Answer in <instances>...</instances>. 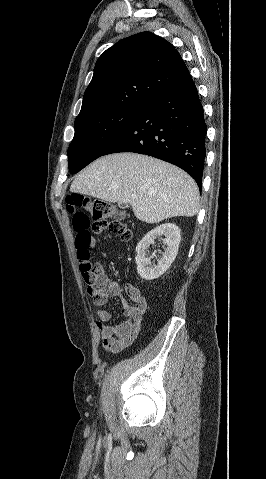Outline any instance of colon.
I'll return each mask as SVG.
<instances>
[{
    "instance_id": "colon-1",
    "label": "colon",
    "mask_w": 266,
    "mask_h": 479,
    "mask_svg": "<svg viewBox=\"0 0 266 479\" xmlns=\"http://www.w3.org/2000/svg\"><path fill=\"white\" fill-rule=\"evenodd\" d=\"M67 211L72 215V228L75 233V248L79 271L91 297L96 296L94 264L91 251V231L99 234L108 231L121 241H128L131 232L122 221L125 214L113 204L101 199L70 194L66 198Z\"/></svg>"
}]
</instances>
